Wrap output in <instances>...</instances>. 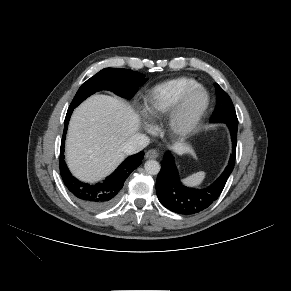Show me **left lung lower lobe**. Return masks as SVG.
Here are the masks:
<instances>
[{"instance_id":"1","label":"left lung lower lobe","mask_w":291,"mask_h":291,"mask_svg":"<svg viewBox=\"0 0 291 291\" xmlns=\"http://www.w3.org/2000/svg\"><path fill=\"white\" fill-rule=\"evenodd\" d=\"M226 123L233 143L229 164L224 172L211 185L202 189L189 188L182 184L173 156L168 151L161 162V171L156 181V193L161 204L172 212L192 215L208 208L221 194L231 174L236 155L238 122L222 119Z\"/></svg>"}]
</instances>
